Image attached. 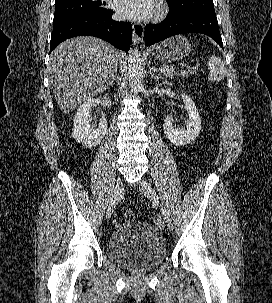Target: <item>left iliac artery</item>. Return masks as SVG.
<instances>
[{"label":"left iliac artery","mask_w":272,"mask_h":303,"mask_svg":"<svg viewBox=\"0 0 272 303\" xmlns=\"http://www.w3.org/2000/svg\"><path fill=\"white\" fill-rule=\"evenodd\" d=\"M162 211H163V212H166V209H163V207H162Z\"/></svg>","instance_id":"left-iliac-artery-1"}]
</instances>
